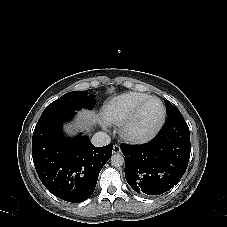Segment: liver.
I'll use <instances>...</instances> for the list:
<instances>
[{
	"label": "liver",
	"instance_id": "6515ba94",
	"mask_svg": "<svg viewBox=\"0 0 227 227\" xmlns=\"http://www.w3.org/2000/svg\"><path fill=\"white\" fill-rule=\"evenodd\" d=\"M80 119H81V126H83V128L86 130H88V127L92 123L97 122V116L94 113L85 111V110L80 112Z\"/></svg>",
	"mask_w": 227,
	"mask_h": 227
}]
</instances>
